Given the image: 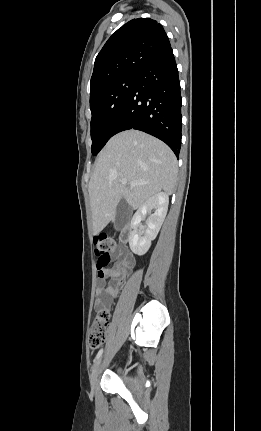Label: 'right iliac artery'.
Returning <instances> with one entry per match:
<instances>
[{
	"instance_id": "1",
	"label": "right iliac artery",
	"mask_w": 261,
	"mask_h": 431,
	"mask_svg": "<svg viewBox=\"0 0 261 431\" xmlns=\"http://www.w3.org/2000/svg\"><path fill=\"white\" fill-rule=\"evenodd\" d=\"M102 353H103V349H100L99 352L97 353L96 357H95L94 362H96L101 357Z\"/></svg>"
}]
</instances>
